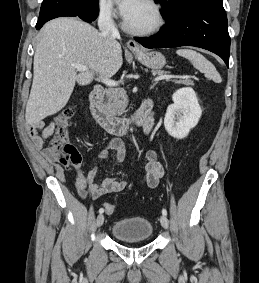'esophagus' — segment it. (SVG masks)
<instances>
[{"mask_svg": "<svg viewBox=\"0 0 259 283\" xmlns=\"http://www.w3.org/2000/svg\"><path fill=\"white\" fill-rule=\"evenodd\" d=\"M127 46L133 53L141 51V46L133 39L128 40Z\"/></svg>", "mask_w": 259, "mask_h": 283, "instance_id": "34e87169", "label": "esophagus"}]
</instances>
